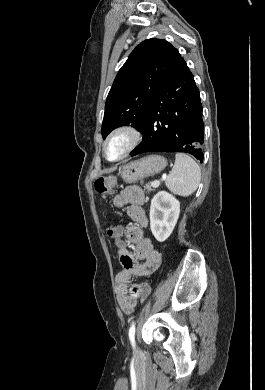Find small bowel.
Instances as JSON below:
<instances>
[{"label":"small bowel","mask_w":265,"mask_h":390,"mask_svg":"<svg viewBox=\"0 0 265 390\" xmlns=\"http://www.w3.org/2000/svg\"><path fill=\"white\" fill-rule=\"evenodd\" d=\"M116 207L127 206L128 215L136 222L125 230L118 226L119 239L116 242L122 270L116 275L118 302L124 313L130 314L137 305L140 285H132L133 276H148L161 264V255L154 249L151 240L145 236L143 227L146 216L142 208L145 195L136 186H129L114 197ZM125 232L127 241L123 239ZM128 244L134 246L131 251Z\"/></svg>","instance_id":"obj_1"}]
</instances>
